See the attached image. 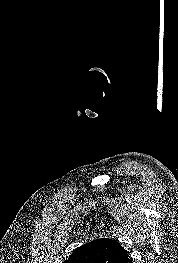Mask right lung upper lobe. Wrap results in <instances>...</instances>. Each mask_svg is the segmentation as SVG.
I'll use <instances>...</instances> for the list:
<instances>
[{
	"instance_id": "cb5924a9",
	"label": "right lung upper lobe",
	"mask_w": 178,
	"mask_h": 263,
	"mask_svg": "<svg viewBox=\"0 0 178 263\" xmlns=\"http://www.w3.org/2000/svg\"><path fill=\"white\" fill-rule=\"evenodd\" d=\"M63 263H132V260L120 243L101 238L76 248Z\"/></svg>"
}]
</instances>
